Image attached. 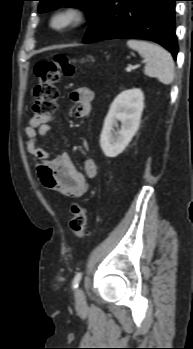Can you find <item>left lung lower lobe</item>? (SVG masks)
I'll list each match as a JSON object with an SVG mask.
<instances>
[{
	"label": "left lung lower lobe",
	"instance_id": "obj_1",
	"mask_svg": "<svg viewBox=\"0 0 193 349\" xmlns=\"http://www.w3.org/2000/svg\"><path fill=\"white\" fill-rule=\"evenodd\" d=\"M175 1L178 0H106L83 42L146 39L162 45L176 58Z\"/></svg>",
	"mask_w": 193,
	"mask_h": 349
}]
</instances>
